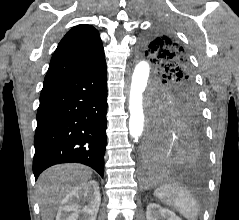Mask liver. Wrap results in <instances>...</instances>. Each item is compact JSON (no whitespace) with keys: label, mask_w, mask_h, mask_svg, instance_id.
<instances>
[{"label":"liver","mask_w":239,"mask_h":220,"mask_svg":"<svg viewBox=\"0 0 239 220\" xmlns=\"http://www.w3.org/2000/svg\"><path fill=\"white\" fill-rule=\"evenodd\" d=\"M91 176L89 168L78 164L56 165L44 171L37 181L42 220H54L64 197Z\"/></svg>","instance_id":"obj_1"}]
</instances>
